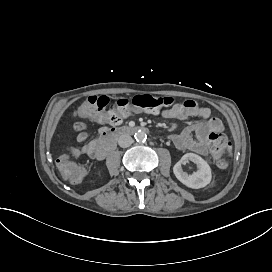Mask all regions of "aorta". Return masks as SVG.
Segmentation results:
<instances>
[{
	"label": "aorta",
	"instance_id": "1",
	"mask_svg": "<svg viewBox=\"0 0 272 272\" xmlns=\"http://www.w3.org/2000/svg\"><path fill=\"white\" fill-rule=\"evenodd\" d=\"M134 138L137 142H143L147 139V134L142 131V130H138L135 134H134Z\"/></svg>",
	"mask_w": 272,
	"mask_h": 272
}]
</instances>
